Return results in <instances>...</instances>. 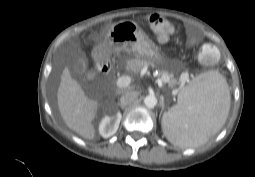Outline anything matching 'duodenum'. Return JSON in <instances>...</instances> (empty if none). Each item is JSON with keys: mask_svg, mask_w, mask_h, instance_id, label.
I'll return each instance as SVG.
<instances>
[{"mask_svg": "<svg viewBox=\"0 0 255 177\" xmlns=\"http://www.w3.org/2000/svg\"><path fill=\"white\" fill-rule=\"evenodd\" d=\"M99 67L102 69V71H109V65L104 60H100Z\"/></svg>", "mask_w": 255, "mask_h": 177, "instance_id": "obj_1", "label": "duodenum"}]
</instances>
